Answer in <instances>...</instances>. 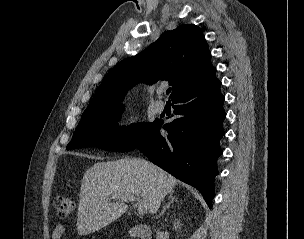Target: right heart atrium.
<instances>
[{
    "label": "right heart atrium",
    "mask_w": 304,
    "mask_h": 239,
    "mask_svg": "<svg viewBox=\"0 0 304 239\" xmlns=\"http://www.w3.org/2000/svg\"><path fill=\"white\" fill-rule=\"evenodd\" d=\"M137 123V117L135 115L128 116L124 121L122 125V130L125 133H129L133 130Z\"/></svg>",
    "instance_id": "1"
}]
</instances>
